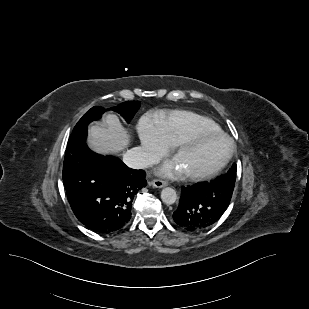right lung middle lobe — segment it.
I'll list each match as a JSON object with an SVG mask.
<instances>
[{
    "label": "right lung middle lobe",
    "instance_id": "1",
    "mask_svg": "<svg viewBox=\"0 0 309 309\" xmlns=\"http://www.w3.org/2000/svg\"><path fill=\"white\" fill-rule=\"evenodd\" d=\"M140 107V102L138 101H127L121 103L117 107L111 108L112 110L118 112L127 122H130ZM105 110L101 107H93L91 108L76 124L73 131L88 126L90 122L93 120H98L101 118Z\"/></svg>",
    "mask_w": 309,
    "mask_h": 309
}]
</instances>
